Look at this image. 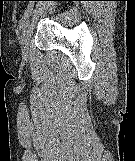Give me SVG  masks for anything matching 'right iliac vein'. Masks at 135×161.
Listing matches in <instances>:
<instances>
[{
    "label": "right iliac vein",
    "mask_w": 135,
    "mask_h": 161,
    "mask_svg": "<svg viewBox=\"0 0 135 161\" xmlns=\"http://www.w3.org/2000/svg\"><path fill=\"white\" fill-rule=\"evenodd\" d=\"M30 36H31L30 28L27 27L26 29H24L22 38H21V50L24 56H27L28 43L30 40Z\"/></svg>",
    "instance_id": "right-iliac-vein-1"
}]
</instances>
